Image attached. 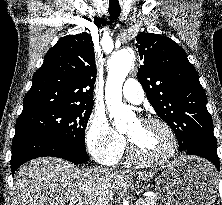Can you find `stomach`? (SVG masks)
<instances>
[{
	"label": "stomach",
	"instance_id": "0dacf381",
	"mask_svg": "<svg viewBox=\"0 0 222 205\" xmlns=\"http://www.w3.org/2000/svg\"><path fill=\"white\" fill-rule=\"evenodd\" d=\"M156 190L164 205H211L215 200V170L203 159L180 157L160 169Z\"/></svg>",
	"mask_w": 222,
	"mask_h": 205
}]
</instances>
